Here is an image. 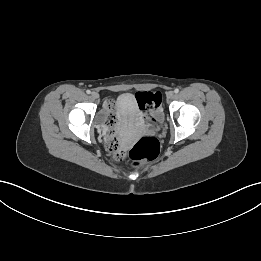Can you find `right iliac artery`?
Wrapping results in <instances>:
<instances>
[{"mask_svg": "<svg viewBox=\"0 0 261 261\" xmlns=\"http://www.w3.org/2000/svg\"><path fill=\"white\" fill-rule=\"evenodd\" d=\"M86 93H87V94H90V93H91V91H90V90H87V91H86Z\"/></svg>", "mask_w": 261, "mask_h": 261, "instance_id": "82829eb1", "label": "right iliac artery"}]
</instances>
